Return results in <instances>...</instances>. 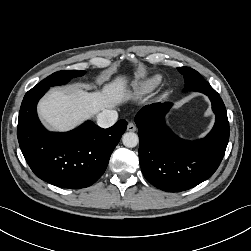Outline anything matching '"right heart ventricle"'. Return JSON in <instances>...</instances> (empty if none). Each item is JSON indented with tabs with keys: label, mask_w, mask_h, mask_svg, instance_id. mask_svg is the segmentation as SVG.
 Instances as JSON below:
<instances>
[{
	"label": "right heart ventricle",
	"mask_w": 251,
	"mask_h": 251,
	"mask_svg": "<svg viewBox=\"0 0 251 251\" xmlns=\"http://www.w3.org/2000/svg\"><path fill=\"white\" fill-rule=\"evenodd\" d=\"M162 77L160 75L150 76L135 85V91L137 93H147L155 89L161 82Z\"/></svg>",
	"instance_id": "1"
}]
</instances>
